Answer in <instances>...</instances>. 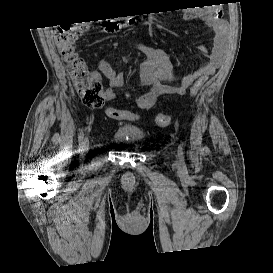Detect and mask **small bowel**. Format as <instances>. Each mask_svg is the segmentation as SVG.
Instances as JSON below:
<instances>
[{"instance_id":"1","label":"small bowel","mask_w":273,"mask_h":273,"mask_svg":"<svg viewBox=\"0 0 273 273\" xmlns=\"http://www.w3.org/2000/svg\"><path fill=\"white\" fill-rule=\"evenodd\" d=\"M185 19H201L213 32L212 48L201 45L200 49L206 54L208 63L200 69L178 79L173 62L167 52L162 48L136 42L137 50L143 54L144 60L140 65V86L148 90L135 98L136 105L144 110L154 107L157 99L163 95H183L186 90L199 78L211 75L219 68L226 57L229 40V26L222 17V11L216 6L188 9L184 13ZM97 79L102 76L107 78L109 87L104 91V99L113 102L117 99L116 89L120 88L125 80L124 73L117 71L105 58L99 61V73H95ZM178 80V84L171 81ZM126 97L131 94L125 93ZM134 114L126 110L124 119L132 120Z\"/></svg>"}]
</instances>
